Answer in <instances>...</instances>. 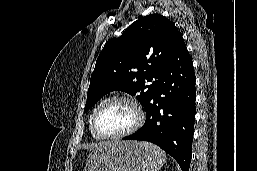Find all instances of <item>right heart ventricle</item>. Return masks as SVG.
<instances>
[{"mask_svg":"<svg viewBox=\"0 0 257 171\" xmlns=\"http://www.w3.org/2000/svg\"><path fill=\"white\" fill-rule=\"evenodd\" d=\"M98 106H99V105H98ZM98 106H97V107H98ZM97 107L92 111V113H91V115H90V118H89V127H90V131H91L92 136H93L94 138L100 139L99 137H97V136L93 133L92 128H91L92 117H93V114H94L95 110L97 109Z\"/></svg>","mask_w":257,"mask_h":171,"instance_id":"e07e8e85","label":"right heart ventricle"}]
</instances>
